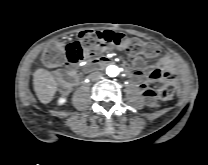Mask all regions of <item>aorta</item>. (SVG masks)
<instances>
[{
    "label": "aorta",
    "instance_id": "1",
    "mask_svg": "<svg viewBox=\"0 0 208 165\" xmlns=\"http://www.w3.org/2000/svg\"><path fill=\"white\" fill-rule=\"evenodd\" d=\"M120 72V69L115 65H110L106 69V73L110 77H116Z\"/></svg>",
    "mask_w": 208,
    "mask_h": 165
}]
</instances>
